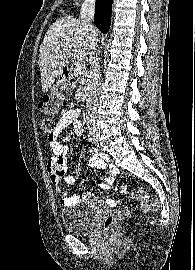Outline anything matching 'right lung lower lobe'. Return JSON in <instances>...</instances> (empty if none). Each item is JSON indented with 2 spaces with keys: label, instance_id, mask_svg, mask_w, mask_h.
<instances>
[{
  "label": "right lung lower lobe",
  "instance_id": "98d812e1",
  "mask_svg": "<svg viewBox=\"0 0 195 270\" xmlns=\"http://www.w3.org/2000/svg\"><path fill=\"white\" fill-rule=\"evenodd\" d=\"M113 0H96L94 23L103 32L107 33L111 23Z\"/></svg>",
  "mask_w": 195,
  "mask_h": 270
}]
</instances>
